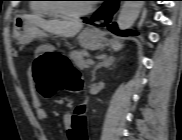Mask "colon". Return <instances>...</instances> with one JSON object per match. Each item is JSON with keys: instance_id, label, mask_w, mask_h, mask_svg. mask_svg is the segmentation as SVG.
I'll use <instances>...</instances> for the list:
<instances>
[{"instance_id": "colon-1", "label": "colon", "mask_w": 182, "mask_h": 140, "mask_svg": "<svg viewBox=\"0 0 182 140\" xmlns=\"http://www.w3.org/2000/svg\"><path fill=\"white\" fill-rule=\"evenodd\" d=\"M31 71L37 92L45 98L62 90L76 93L82 91L79 73L64 56H39L35 59ZM67 134L69 140H89L88 109L84 99L77 104L70 116Z\"/></svg>"}]
</instances>
